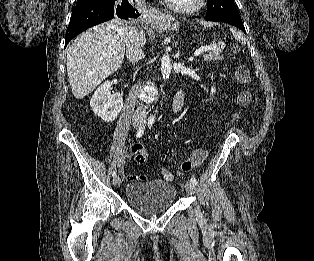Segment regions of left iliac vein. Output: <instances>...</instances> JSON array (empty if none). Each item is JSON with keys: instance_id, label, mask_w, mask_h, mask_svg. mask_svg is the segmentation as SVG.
<instances>
[{"instance_id": "obj_1", "label": "left iliac vein", "mask_w": 314, "mask_h": 261, "mask_svg": "<svg viewBox=\"0 0 314 261\" xmlns=\"http://www.w3.org/2000/svg\"><path fill=\"white\" fill-rule=\"evenodd\" d=\"M185 189L189 195L193 196L195 194L196 188H195V185L193 184V182L191 180L186 181ZM195 210H196L197 217H201V211H200V208L197 204L195 206Z\"/></svg>"}]
</instances>
